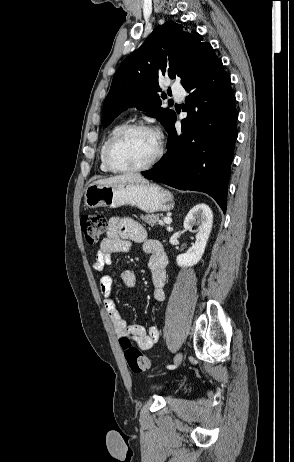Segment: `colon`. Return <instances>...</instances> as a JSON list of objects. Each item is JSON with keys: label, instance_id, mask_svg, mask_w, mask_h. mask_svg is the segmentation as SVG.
Here are the masks:
<instances>
[{"label": "colon", "instance_id": "obj_1", "mask_svg": "<svg viewBox=\"0 0 294 462\" xmlns=\"http://www.w3.org/2000/svg\"><path fill=\"white\" fill-rule=\"evenodd\" d=\"M81 229L86 241L94 245L98 243L101 235L106 229V220L103 216L86 215L81 219ZM120 344L124 349V355L128 366L133 372L142 373L149 369L150 362L148 358L132 345L129 338H120Z\"/></svg>", "mask_w": 294, "mask_h": 462}]
</instances>
